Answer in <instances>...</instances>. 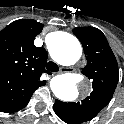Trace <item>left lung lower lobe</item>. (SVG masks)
Listing matches in <instances>:
<instances>
[{
	"mask_svg": "<svg viewBox=\"0 0 124 124\" xmlns=\"http://www.w3.org/2000/svg\"><path fill=\"white\" fill-rule=\"evenodd\" d=\"M54 111H55V113H56V107H55V104H54Z\"/></svg>",
	"mask_w": 124,
	"mask_h": 124,
	"instance_id": "left-lung-lower-lobe-1",
	"label": "left lung lower lobe"
}]
</instances>
